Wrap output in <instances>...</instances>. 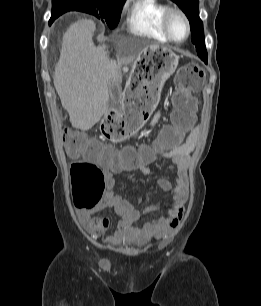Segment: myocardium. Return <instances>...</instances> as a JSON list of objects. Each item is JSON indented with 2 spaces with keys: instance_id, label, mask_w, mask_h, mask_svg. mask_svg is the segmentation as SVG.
<instances>
[{
  "instance_id": "f54148a6",
  "label": "myocardium",
  "mask_w": 261,
  "mask_h": 306,
  "mask_svg": "<svg viewBox=\"0 0 261 306\" xmlns=\"http://www.w3.org/2000/svg\"><path fill=\"white\" fill-rule=\"evenodd\" d=\"M174 15H177L182 19V21L185 25V28H186V35L183 39H180V40L176 39L172 35L171 29H170V20ZM162 26H163L164 32L166 33L168 38L171 41L176 42V43H181V42L186 41L188 39L190 33H191L190 22L188 20V17L186 16V14L181 9L176 8V7H169L165 11V13L163 15V18H162Z\"/></svg>"
}]
</instances>
